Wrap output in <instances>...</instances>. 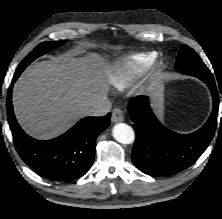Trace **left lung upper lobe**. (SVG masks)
Returning a JSON list of instances; mask_svg holds the SVG:
<instances>
[{
    "label": "left lung upper lobe",
    "mask_w": 222,
    "mask_h": 219,
    "mask_svg": "<svg viewBox=\"0 0 222 219\" xmlns=\"http://www.w3.org/2000/svg\"><path fill=\"white\" fill-rule=\"evenodd\" d=\"M176 69L182 74H188L195 77H200L202 74L207 78L212 77L211 72L201 58L187 45H182L180 49L176 60Z\"/></svg>",
    "instance_id": "obj_1"
}]
</instances>
